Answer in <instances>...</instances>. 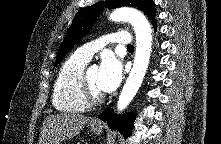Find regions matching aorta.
<instances>
[{"label":"aorta","mask_w":221,"mask_h":144,"mask_svg":"<svg viewBox=\"0 0 221 144\" xmlns=\"http://www.w3.org/2000/svg\"><path fill=\"white\" fill-rule=\"evenodd\" d=\"M110 20L115 22L128 21L136 34V52L133 67L120 93L117 109L123 111L132 101L144 79L151 54L152 31L146 17L138 10L121 7L115 9Z\"/></svg>","instance_id":"aorta-1"}]
</instances>
